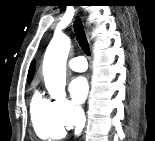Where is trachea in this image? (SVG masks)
Listing matches in <instances>:
<instances>
[{"mask_svg":"<svg viewBox=\"0 0 155 141\" xmlns=\"http://www.w3.org/2000/svg\"><path fill=\"white\" fill-rule=\"evenodd\" d=\"M74 31L77 41L85 54L90 55L89 44L80 19L75 21Z\"/></svg>","mask_w":155,"mask_h":141,"instance_id":"obj_1","label":"trachea"}]
</instances>
